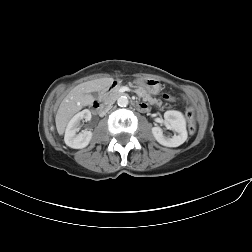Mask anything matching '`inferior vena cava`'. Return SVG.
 I'll list each match as a JSON object with an SVG mask.
<instances>
[{
	"label": "inferior vena cava",
	"mask_w": 252,
	"mask_h": 252,
	"mask_svg": "<svg viewBox=\"0 0 252 252\" xmlns=\"http://www.w3.org/2000/svg\"><path fill=\"white\" fill-rule=\"evenodd\" d=\"M112 108L111 105L106 106L102 111H101V115L104 116L110 109Z\"/></svg>",
	"instance_id": "obj_1"
}]
</instances>
